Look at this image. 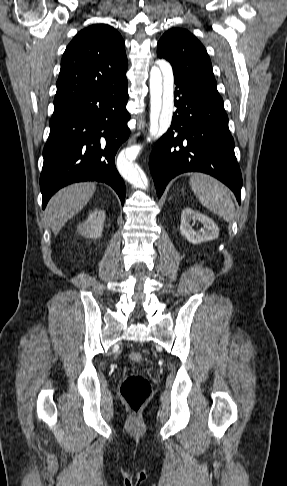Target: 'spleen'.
Instances as JSON below:
<instances>
[{"label": "spleen", "mask_w": 287, "mask_h": 486, "mask_svg": "<svg viewBox=\"0 0 287 486\" xmlns=\"http://www.w3.org/2000/svg\"><path fill=\"white\" fill-rule=\"evenodd\" d=\"M190 186L200 203L229 223L235 217V205L227 187L217 179L202 173L190 177Z\"/></svg>", "instance_id": "spleen-1"}]
</instances>
